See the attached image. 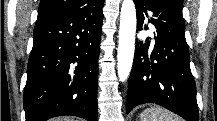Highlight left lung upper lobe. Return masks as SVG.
I'll return each mask as SVG.
<instances>
[{
  "label": "left lung upper lobe",
  "instance_id": "obj_1",
  "mask_svg": "<svg viewBox=\"0 0 217 121\" xmlns=\"http://www.w3.org/2000/svg\"><path fill=\"white\" fill-rule=\"evenodd\" d=\"M167 4H169L181 17L182 16V8L183 1L182 0H164Z\"/></svg>",
  "mask_w": 217,
  "mask_h": 121
}]
</instances>
